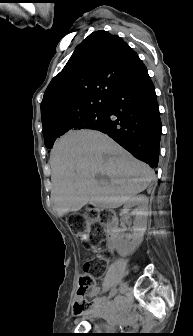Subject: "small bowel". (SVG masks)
<instances>
[{
    "mask_svg": "<svg viewBox=\"0 0 193 336\" xmlns=\"http://www.w3.org/2000/svg\"><path fill=\"white\" fill-rule=\"evenodd\" d=\"M100 292L99 287H94L89 292L90 298H96ZM98 304H105V300H97ZM104 317L111 323L132 324L136 320V316L128 309L127 300H119L116 305L108 304V307L103 312Z\"/></svg>",
    "mask_w": 193,
    "mask_h": 336,
    "instance_id": "obj_1",
    "label": "small bowel"
}]
</instances>
